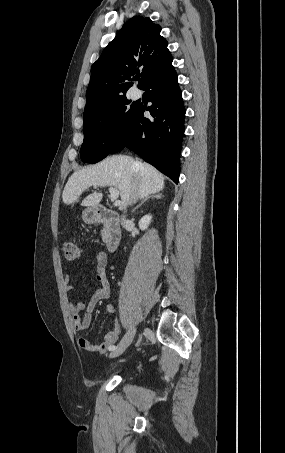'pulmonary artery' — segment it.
Segmentation results:
<instances>
[{
	"label": "pulmonary artery",
	"instance_id": "pulmonary-artery-1",
	"mask_svg": "<svg viewBox=\"0 0 285 453\" xmlns=\"http://www.w3.org/2000/svg\"><path fill=\"white\" fill-rule=\"evenodd\" d=\"M140 96H141V91H140V90L135 89V90L132 92V97H133L134 99H138Z\"/></svg>",
	"mask_w": 285,
	"mask_h": 453
}]
</instances>
